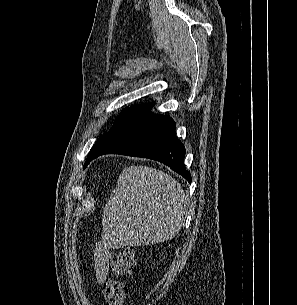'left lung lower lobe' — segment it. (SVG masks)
<instances>
[{
	"instance_id": "0a47b994",
	"label": "left lung lower lobe",
	"mask_w": 297,
	"mask_h": 305,
	"mask_svg": "<svg viewBox=\"0 0 297 305\" xmlns=\"http://www.w3.org/2000/svg\"><path fill=\"white\" fill-rule=\"evenodd\" d=\"M150 109V104H140L122 111L88 163L110 153L145 157L164 163L191 183L184 165L186 150L176 138L174 120Z\"/></svg>"
}]
</instances>
